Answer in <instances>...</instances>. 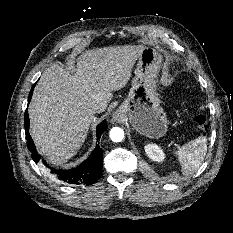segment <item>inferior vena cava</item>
Returning a JSON list of instances; mask_svg holds the SVG:
<instances>
[{"label": "inferior vena cava", "mask_w": 233, "mask_h": 233, "mask_svg": "<svg viewBox=\"0 0 233 233\" xmlns=\"http://www.w3.org/2000/svg\"><path fill=\"white\" fill-rule=\"evenodd\" d=\"M93 114H98V109L97 108L93 109Z\"/></svg>", "instance_id": "602c4592"}]
</instances>
